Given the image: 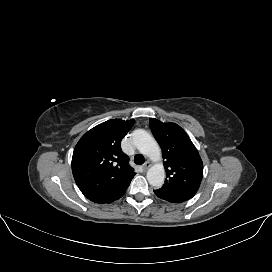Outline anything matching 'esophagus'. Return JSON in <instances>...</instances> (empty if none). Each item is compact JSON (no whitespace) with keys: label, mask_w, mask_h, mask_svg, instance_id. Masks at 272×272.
<instances>
[{"label":"esophagus","mask_w":272,"mask_h":272,"mask_svg":"<svg viewBox=\"0 0 272 272\" xmlns=\"http://www.w3.org/2000/svg\"><path fill=\"white\" fill-rule=\"evenodd\" d=\"M150 166V162H145V164L143 165V169L146 171L147 169H149Z\"/></svg>","instance_id":"esophagus-1"}]
</instances>
